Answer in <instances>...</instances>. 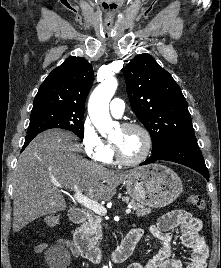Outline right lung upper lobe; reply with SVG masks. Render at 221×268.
Listing matches in <instances>:
<instances>
[{
	"label": "right lung upper lobe",
	"instance_id": "right-lung-upper-lobe-1",
	"mask_svg": "<svg viewBox=\"0 0 221 268\" xmlns=\"http://www.w3.org/2000/svg\"><path fill=\"white\" fill-rule=\"evenodd\" d=\"M93 78V68L86 59L68 57L42 83L34 99L32 111L64 109L84 113Z\"/></svg>",
	"mask_w": 221,
	"mask_h": 268
}]
</instances>
